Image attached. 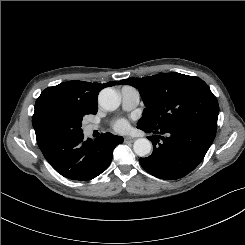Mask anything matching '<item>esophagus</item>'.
<instances>
[{"instance_id": "34e87169", "label": "esophagus", "mask_w": 245, "mask_h": 245, "mask_svg": "<svg viewBox=\"0 0 245 245\" xmlns=\"http://www.w3.org/2000/svg\"><path fill=\"white\" fill-rule=\"evenodd\" d=\"M134 140H135V138L130 137V136H127V137L124 138L125 142H133Z\"/></svg>"}]
</instances>
